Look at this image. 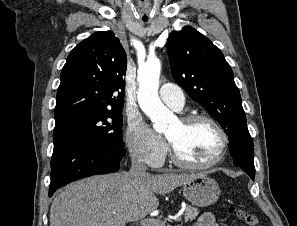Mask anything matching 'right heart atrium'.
<instances>
[{
    "label": "right heart atrium",
    "instance_id": "d8ad5b80",
    "mask_svg": "<svg viewBox=\"0 0 297 226\" xmlns=\"http://www.w3.org/2000/svg\"><path fill=\"white\" fill-rule=\"evenodd\" d=\"M125 143L132 159L148 167L161 164L166 154L162 138L154 133L139 116L128 122Z\"/></svg>",
    "mask_w": 297,
    "mask_h": 226
}]
</instances>
